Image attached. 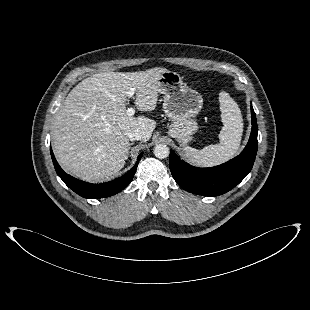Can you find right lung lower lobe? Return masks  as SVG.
<instances>
[{
	"mask_svg": "<svg viewBox=\"0 0 310 310\" xmlns=\"http://www.w3.org/2000/svg\"><path fill=\"white\" fill-rule=\"evenodd\" d=\"M50 152L55 170L58 176L63 180V182L78 195L90 199L109 197L122 191L131 182L136 172L137 165L143 154V153L139 154L137 162L134 165V167L122 177L103 184H91L80 181L66 174L57 163L55 156L52 152V149H50Z\"/></svg>",
	"mask_w": 310,
	"mask_h": 310,
	"instance_id": "98d812e1",
	"label": "right lung lower lobe"
}]
</instances>
